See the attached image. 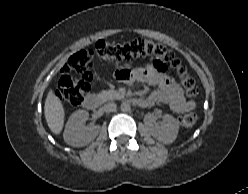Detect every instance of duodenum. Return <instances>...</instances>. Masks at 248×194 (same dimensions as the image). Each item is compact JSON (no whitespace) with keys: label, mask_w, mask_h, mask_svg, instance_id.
<instances>
[{"label":"duodenum","mask_w":248,"mask_h":194,"mask_svg":"<svg viewBox=\"0 0 248 194\" xmlns=\"http://www.w3.org/2000/svg\"><path fill=\"white\" fill-rule=\"evenodd\" d=\"M128 101L139 107L148 106V102L144 99L131 98ZM99 102H100V97L98 95L90 94L84 98L82 105L84 108L88 110H93L98 106Z\"/></svg>","instance_id":"duodenum-1"}]
</instances>
